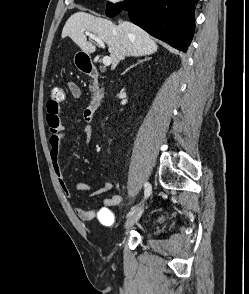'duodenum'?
Wrapping results in <instances>:
<instances>
[{"label": "duodenum", "instance_id": "1", "mask_svg": "<svg viewBox=\"0 0 249 294\" xmlns=\"http://www.w3.org/2000/svg\"><path fill=\"white\" fill-rule=\"evenodd\" d=\"M82 71L85 74H87L89 77H91L92 79H97L99 75V72L96 69V67L89 62L82 66ZM101 103H102V96L96 89H94L85 110L88 118L90 119L93 118V116L96 114L97 110L99 109Z\"/></svg>", "mask_w": 249, "mask_h": 294}]
</instances>
